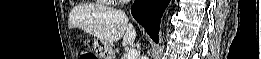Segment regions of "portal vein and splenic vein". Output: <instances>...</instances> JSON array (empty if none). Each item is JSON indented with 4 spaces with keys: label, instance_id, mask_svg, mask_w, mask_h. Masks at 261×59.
<instances>
[{
    "label": "portal vein and splenic vein",
    "instance_id": "1",
    "mask_svg": "<svg viewBox=\"0 0 261 59\" xmlns=\"http://www.w3.org/2000/svg\"><path fill=\"white\" fill-rule=\"evenodd\" d=\"M138 56V53L135 49H131L129 50V52L127 53L125 59H136Z\"/></svg>",
    "mask_w": 261,
    "mask_h": 59
}]
</instances>
